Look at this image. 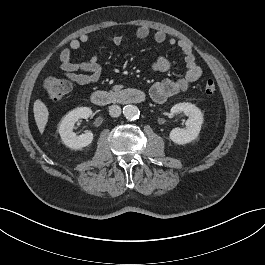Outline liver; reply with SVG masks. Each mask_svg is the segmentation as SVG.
I'll return each mask as SVG.
<instances>
[{
    "label": "liver",
    "mask_w": 265,
    "mask_h": 265,
    "mask_svg": "<svg viewBox=\"0 0 265 265\" xmlns=\"http://www.w3.org/2000/svg\"><path fill=\"white\" fill-rule=\"evenodd\" d=\"M33 112L38 130L42 134L48 122V117H49L48 108L40 99H37L33 105Z\"/></svg>",
    "instance_id": "obj_1"
}]
</instances>
